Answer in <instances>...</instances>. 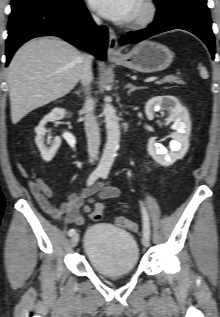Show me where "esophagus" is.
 <instances>
[{"label": "esophagus", "instance_id": "1", "mask_svg": "<svg viewBox=\"0 0 220 317\" xmlns=\"http://www.w3.org/2000/svg\"><path fill=\"white\" fill-rule=\"evenodd\" d=\"M107 55H108V58H114L120 55V52L117 49V36L111 28L109 29Z\"/></svg>", "mask_w": 220, "mask_h": 317}]
</instances>
